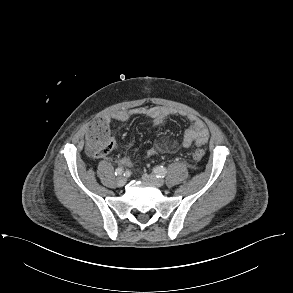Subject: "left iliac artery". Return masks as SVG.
Wrapping results in <instances>:
<instances>
[{"label":"left iliac artery","mask_w":293,"mask_h":293,"mask_svg":"<svg viewBox=\"0 0 293 293\" xmlns=\"http://www.w3.org/2000/svg\"><path fill=\"white\" fill-rule=\"evenodd\" d=\"M153 172L157 175V177L163 178L167 174L166 168L163 166H157L153 169Z\"/></svg>","instance_id":"44dca946"}]
</instances>
